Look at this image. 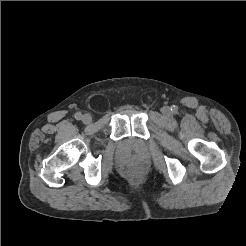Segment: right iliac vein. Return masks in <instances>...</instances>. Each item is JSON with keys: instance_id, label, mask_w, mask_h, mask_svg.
Returning <instances> with one entry per match:
<instances>
[{"instance_id": "right-iliac-vein-1", "label": "right iliac vein", "mask_w": 246, "mask_h": 246, "mask_svg": "<svg viewBox=\"0 0 246 246\" xmlns=\"http://www.w3.org/2000/svg\"><path fill=\"white\" fill-rule=\"evenodd\" d=\"M92 121V117L90 114H84L82 116V122L85 123V124H88Z\"/></svg>"}]
</instances>
